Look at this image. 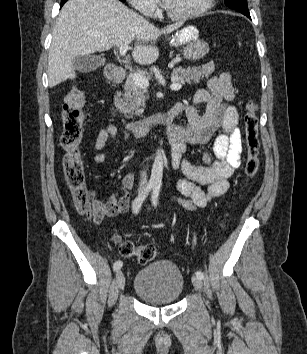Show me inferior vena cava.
<instances>
[{"label":"inferior vena cava","mask_w":307,"mask_h":354,"mask_svg":"<svg viewBox=\"0 0 307 354\" xmlns=\"http://www.w3.org/2000/svg\"><path fill=\"white\" fill-rule=\"evenodd\" d=\"M140 183H139V191H143L147 185V173L146 171H142L140 174Z\"/></svg>","instance_id":"obj_1"}]
</instances>
